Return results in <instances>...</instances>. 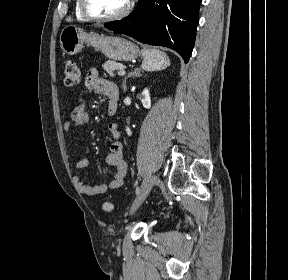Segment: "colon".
Returning <instances> with one entry per match:
<instances>
[{
	"label": "colon",
	"mask_w": 288,
	"mask_h": 280,
	"mask_svg": "<svg viewBox=\"0 0 288 280\" xmlns=\"http://www.w3.org/2000/svg\"><path fill=\"white\" fill-rule=\"evenodd\" d=\"M64 84L68 87H74L79 83L80 80V70L77 63L73 60L67 61L64 69ZM103 211L111 212L114 209V205L111 202L103 203Z\"/></svg>",
	"instance_id": "5ec220e1"
}]
</instances>
